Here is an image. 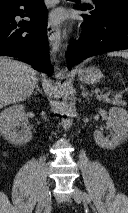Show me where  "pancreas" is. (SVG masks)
<instances>
[{"label":"pancreas","mask_w":128,"mask_h":213,"mask_svg":"<svg viewBox=\"0 0 128 213\" xmlns=\"http://www.w3.org/2000/svg\"><path fill=\"white\" fill-rule=\"evenodd\" d=\"M105 102L107 103H111L113 105H117V106H124L125 105V101H123L121 99V97H114L112 99H104Z\"/></svg>","instance_id":"1"}]
</instances>
